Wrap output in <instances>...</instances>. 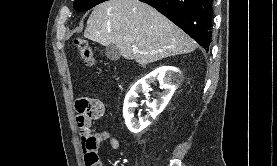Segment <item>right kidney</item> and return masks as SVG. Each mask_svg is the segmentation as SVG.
<instances>
[{
	"instance_id": "ca27d5eb",
	"label": "right kidney",
	"mask_w": 277,
	"mask_h": 166,
	"mask_svg": "<svg viewBox=\"0 0 277 166\" xmlns=\"http://www.w3.org/2000/svg\"><path fill=\"white\" fill-rule=\"evenodd\" d=\"M175 78L176 69L171 67H161L146 75L132 86L125 97L123 106L125 123L131 132H141L151 123V118H156V116L164 110L174 93ZM155 80H159L161 88L164 89L162 96L159 100L147 104V106L151 108L148 115L137 120L134 118V109L137 107L136 98L141 91L148 92L150 90V83Z\"/></svg>"
}]
</instances>
